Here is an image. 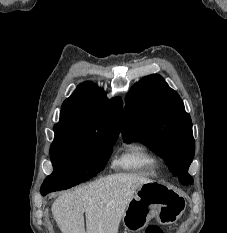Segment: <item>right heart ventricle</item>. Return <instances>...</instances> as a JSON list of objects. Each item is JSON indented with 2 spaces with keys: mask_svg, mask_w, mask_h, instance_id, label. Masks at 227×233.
<instances>
[{
  "mask_svg": "<svg viewBox=\"0 0 227 233\" xmlns=\"http://www.w3.org/2000/svg\"><path fill=\"white\" fill-rule=\"evenodd\" d=\"M114 165L124 170L155 176L158 172L159 162L145 145L133 143L124 148L114 161Z\"/></svg>",
  "mask_w": 227,
  "mask_h": 233,
  "instance_id": "obj_1",
  "label": "right heart ventricle"
}]
</instances>
